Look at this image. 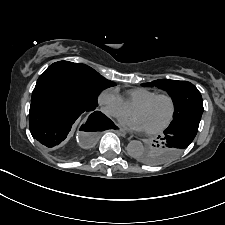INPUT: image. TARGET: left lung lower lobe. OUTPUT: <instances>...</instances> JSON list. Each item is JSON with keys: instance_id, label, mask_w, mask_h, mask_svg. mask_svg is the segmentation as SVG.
<instances>
[{"instance_id": "obj_1", "label": "left lung lower lobe", "mask_w": 225, "mask_h": 225, "mask_svg": "<svg viewBox=\"0 0 225 225\" xmlns=\"http://www.w3.org/2000/svg\"><path fill=\"white\" fill-rule=\"evenodd\" d=\"M201 115H190L170 124L161 137V142L169 148L168 151L153 156V165H160L178 156L195 138Z\"/></svg>"}]
</instances>
